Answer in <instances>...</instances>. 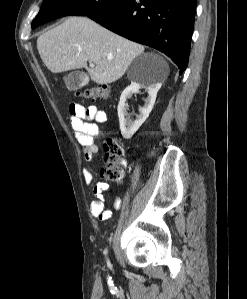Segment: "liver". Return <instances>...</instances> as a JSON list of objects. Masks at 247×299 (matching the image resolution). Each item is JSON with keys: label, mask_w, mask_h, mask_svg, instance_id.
Instances as JSON below:
<instances>
[{"label": "liver", "mask_w": 247, "mask_h": 299, "mask_svg": "<svg viewBox=\"0 0 247 299\" xmlns=\"http://www.w3.org/2000/svg\"><path fill=\"white\" fill-rule=\"evenodd\" d=\"M44 65L52 73L87 69L93 82L103 85L120 79L131 62L144 51L138 43L121 37L87 17H70L37 39ZM87 61L96 64L87 67ZM164 79L167 62L159 57Z\"/></svg>", "instance_id": "6515ba94"}]
</instances>
